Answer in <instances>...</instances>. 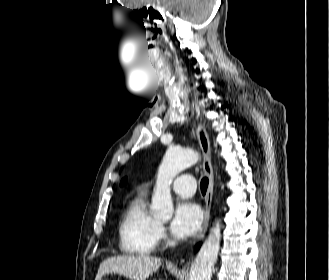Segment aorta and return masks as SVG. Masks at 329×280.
<instances>
[{"instance_id": "1", "label": "aorta", "mask_w": 329, "mask_h": 280, "mask_svg": "<svg viewBox=\"0 0 329 280\" xmlns=\"http://www.w3.org/2000/svg\"><path fill=\"white\" fill-rule=\"evenodd\" d=\"M199 160L198 152L191 149L169 147L158 169L156 186L152 196L151 209L163 219H169L174 212L171 198V184L181 171ZM221 241L218 223L210 230L190 270L189 280H211Z\"/></svg>"}]
</instances>
